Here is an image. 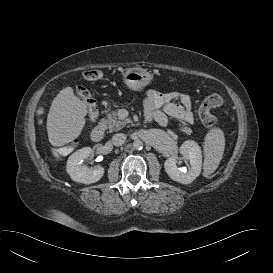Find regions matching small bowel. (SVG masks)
I'll use <instances>...</instances> for the list:
<instances>
[{"instance_id":"c3829d8e","label":"small bowel","mask_w":273,"mask_h":273,"mask_svg":"<svg viewBox=\"0 0 273 273\" xmlns=\"http://www.w3.org/2000/svg\"><path fill=\"white\" fill-rule=\"evenodd\" d=\"M146 117L161 126L168 124V118L180 123H193L192 100L183 93L149 91L145 100Z\"/></svg>"}]
</instances>
